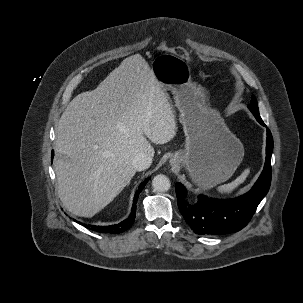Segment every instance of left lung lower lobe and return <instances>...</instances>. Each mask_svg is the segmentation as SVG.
I'll use <instances>...</instances> for the list:
<instances>
[{
	"label": "left lung lower lobe",
	"mask_w": 303,
	"mask_h": 303,
	"mask_svg": "<svg viewBox=\"0 0 303 303\" xmlns=\"http://www.w3.org/2000/svg\"><path fill=\"white\" fill-rule=\"evenodd\" d=\"M257 121L263 125L260 117ZM266 160L264 169L252 189L235 199L217 200L199 196L196 204H189L186 189L176 183L177 204L187 224L199 235H222L244 228L254 215L257 206L267 194L271 184V155L273 138L267 128Z\"/></svg>",
	"instance_id": "1"
}]
</instances>
